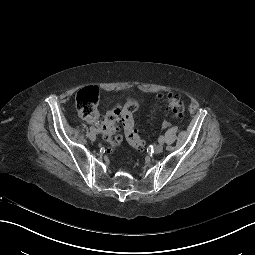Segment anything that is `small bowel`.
<instances>
[{
  "instance_id": "1",
  "label": "small bowel",
  "mask_w": 255,
  "mask_h": 255,
  "mask_svg": "<svg viewBox=\"0 0 255 255\" xmlns=\"http://www.w3.org/2000/svg\"><path fill=\"white\" fill-rule=\"evenodd\" d=\"M94 123H97V121L95 120V121H93Z\"/></svg>"
}]
</instances>
